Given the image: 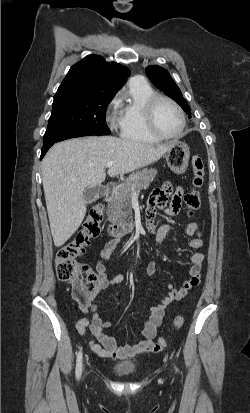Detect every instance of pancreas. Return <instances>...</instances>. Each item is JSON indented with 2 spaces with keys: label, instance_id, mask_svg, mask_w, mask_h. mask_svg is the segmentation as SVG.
Listing matches in <instances>:
<instances>
[{
  "label": "pancreas",
  "instance_id": "pancreas-1",
  "mask_svg": "<svg viewBox=\"0 0 250 413\" xmlns=\"http://www.w3.org/2000/svg\"><path fill=\"white\" fill-rule=\"evenodd\" d=\"M157 174L156 169H143L133 172L125 182L116 187V192L108 202V219L114 224H126L131 219L132 196L139 195L149 187Z\"/></svg>",
  "mask_w": 250,
  "mask_h": 413
}]
</instances>
